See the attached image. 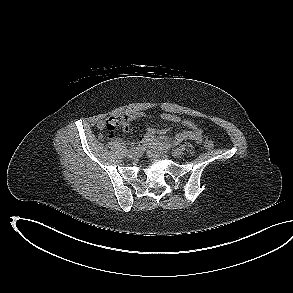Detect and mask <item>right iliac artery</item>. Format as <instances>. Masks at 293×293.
I'll return each instance as SVG.
<instances>
[{
	"mask_svg": "<svg viewBox=\"0 0 293 293\" xmlns=\"http://www.w3.org/2000/svg\"><path fill=\"white\" fill-rule=\"evenodd\" d=\"M142 148H143V146L137 145V146H131V147H129V150H140ZM125 151H128V149H125Z\"/></svg>",
	"mask_w": 293,
	"mask_h": 293,
	"instance_id": "1",
	"label": "right iliac artery"
}]
</instances>
